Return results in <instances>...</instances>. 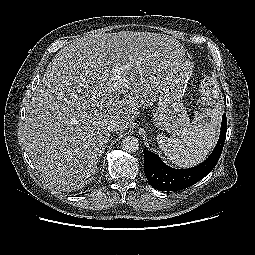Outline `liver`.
Segmentation results:
<instances>
[{"mask_svg":"<svg viewBox=\"0 0 255 255\" xmlns=\"http://www.w3.org/2000/svg\"><path fill=\"white\" fill-rule=\"evenodd\" d=\"M184 58L175 38L134 31L89 34L58 51L24 123L26 150L44 182L66 192L89 184L110 138L109 121L119 122L116 132L127 130ZM116 66L123 68L121 85L110 73Z\"/></svg>","mask_w":255,"mask_h":255,"instance_id":"obj_1","label":"liver"}]
</instances>
